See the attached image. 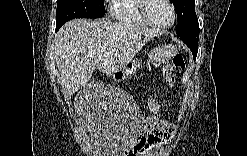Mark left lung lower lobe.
I'll use <instances>...</instances> for the list:
<instances>
[{
    "label": "left lung lower lobe",
    "instance_id": "obj_1",
    "mask_svg": "<svg viewBox=\"0 0 247 156\" xmlns=\"http://www.w3.org/2000/svg\"><path fill=\"white\" fill-rule=\"evenodd\" d=\"M198 40H199V30L191 32L186 38H182V41L192 51L194 59L196 58L198 52Z\"/></svg>",
    "mask_w": 247,
    "mask_h": 156
}]
</instances>
